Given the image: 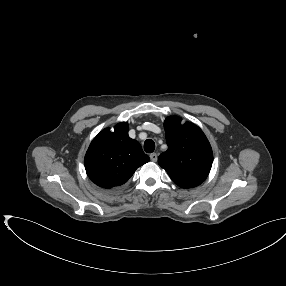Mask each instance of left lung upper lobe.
I'll list each match as a JSON object with an SVG mask.
<instances>
[{
	"mask_svg": "<svg viewBox=\"0 0 286 286\" xmlns=\"http://www.w3.org/2000/svg\"><path fill=\"white\" fill-rule=\"evenodd\" d=\"M178 116L164 122L167 151L160 154L159 165L181 188L200 185L208 176L213 152L203 131L191 122L181 123Z\"/></svg>",
	"mask_w": 286,
	"mask_h": 286,
	"instance_id": "left-lung-upper-lobe-1",
	"label": "left lung upper lobe"
}]
</instances>
